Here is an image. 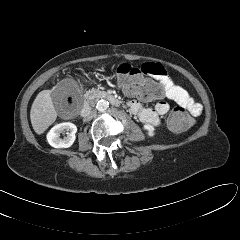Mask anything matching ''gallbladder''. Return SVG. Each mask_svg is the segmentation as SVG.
I'll use <instances>...</instances> for the list:
<instances>
[{
	"label": "gallbladder",
	"mask_w": 240,
	"mask_h": 240,
	"mask_svg": "<svg viewBox=\"0 0 240 240\" xmlns=\"http://www.w3.org/2000/svg\"><path fill=\"white\" fill-rule=\"evenodd\" d=\"M75 84L70 80L61 83L51 92V98L55 105L56 110L61 113L62 111H69L72 105H68L66 97L71 95Z\"/></svg>",
	"instance_id": "gallbladder-1"
}]
</instances>
